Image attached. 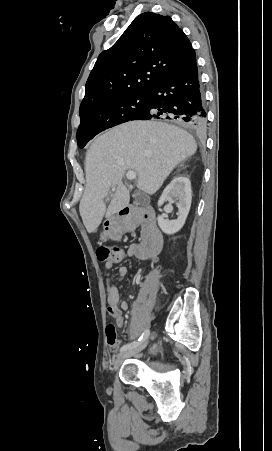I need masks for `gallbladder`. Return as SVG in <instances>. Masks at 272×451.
Listing matches in <instances>:
<instances>
[{
	"mask_svg": "<svg viewBox=\"0 0 272 451\" xmlns=\"http://www.w3.org/2000/svg\"><path fill=\"white\" fill-rule=\"evenodd\" d=\"M135 204H140V206H144L143 202H140L139 198H137Z\"/></svg>",
	"mask_w": 272,
	"mask_h": 451,
	"instance_id": "gallbladder-1",
	"label": "gallbladder"
}]
</instances>
